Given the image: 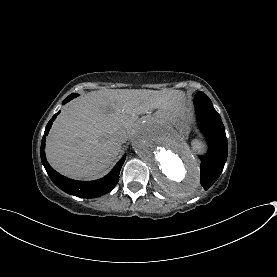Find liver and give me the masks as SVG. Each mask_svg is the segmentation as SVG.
<instances>
[{
  "label": "liver",
  "mask_w": 277,
  "mask_h": 277,
  "mask_svg": "<svg viewBox=\"0 0 277 277\" xmlns=\"http://www.w3.org/2000/svg\"><path fill=\"white\" fill-rule=\"evenodd\" d=\"M178 90L92 91L73 100L57 117L46 141L50 165L73 179H93L113 165L128 124L139 114L173 111ZM123 138H120V137Z\"/></svg>",
  "instance_id": "1"
}]
</instances>
